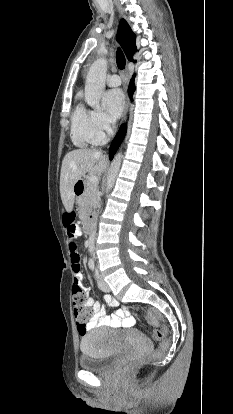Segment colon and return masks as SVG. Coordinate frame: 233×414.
I'll return each instance as SVG.
<instances>
[{
	"label": "colon",
	"instance_id": "colon-1",
	"mask_svg": "<svg viewBox=\"0 0 233 414\" xmlns=\"http://www.w3.org/2000/svg\"><path fill=\"white\" fill-rule=\"evenodd\" d=\"M66 232L68 237V246L70 253L73 250L78 251L77 243V228L75 223L72 220L71 216H68L65 220ZM73 268V267H72ZM73 305H74V314L76 319V324L78 331L83 334L86 332L92 318V311L87 306V295L85 291H82L81 294L75 295L72 293ZM149 322L155 326L159 327L161 325V315L158 310L151 308L148 311ZM152 338L155 341H161L163 338V333L160 329L156 328L152 332ZM166 348V344L162 343L159 348L154 352V355H159ZM138 363L137 359H130L125 364V370L132 369Z\"/></svg>",
	"mask_w": 233,
	"mask_h": 414
}]
</instances>
